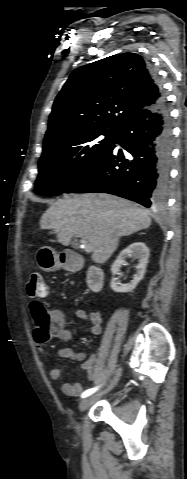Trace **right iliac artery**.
<instances>
[{
    "mask_svg": "<svg viewBox=\"0 0 187 479\" xmlns=\"http://www.w3.org/2000/svg\"><path fill=\"white\" fill-rule=\"evenodd\" d=\"M99 387H95V388H91V389H88L86 391H84L81 395V398H85V397H88L90 396L91 394H93L94 392H96L98 390Z\"/></svg>",
    "mask_w": 187,
    "mask_h": 479,
    "instance_id": "obj_1",
    "label": "right iliac artery"
}]
</instances>
